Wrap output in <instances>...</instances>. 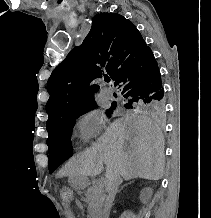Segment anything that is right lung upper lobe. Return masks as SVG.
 Listing matches in <instances>:
<instances>
[{"label": "right lung upper lobe", "instance_id": "1", "mask_svg": "<svg viewBox=\"0 0 211 218\" xmlns=\"http://www.w3.org/2000/svg\"><path fill=\"white\" fill-rule=\"evenodd\" d=\"M149 50L136 27L122 15L94 16L82 45L70 51L48 80L47 131L63 116L94 100V92L99 87L89 84L102 77L103 70L115 80Z\"/></svg>", "mask_w": 211, "mask_h": 218}]
</instances>
